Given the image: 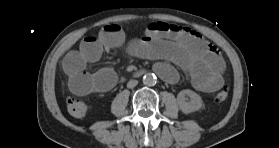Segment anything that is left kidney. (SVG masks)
<instances>
[{
	"instance_id": "1",
	"label": "left kidney",
	"mask_w": 279,
	"mask_h": 148,
	"mask_svg": "<svg viewBox=\"0 0 279 148\" xmlns=\"http://www.w3.org/2000/svg\"><path fill=\"white\" fill-rule=\"evenodd\" d=\"M187 97L190 98L189 101ZM177 103L180 110L184 114H189L198 111L203 107V101L201 96L189 89L182 90L178 93Z\"/></svg>"
}]
</instances>
